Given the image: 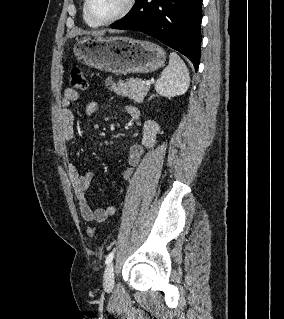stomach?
Listing matches in <instances>:
<instances>
[{"instance_id": "0dacf381", "label": "stomach", "mask_w": 284, "mask_h": 319, "mask_svg": "<svg viewBox=\"0 0 284 319\" xmlns=\"http://www.w3.org/2000/svg\"><path fill=\"white\" fill-rule=\"evenodd\" d=\"M80 62L114 74L151 73L163 66L164 50L130 37H82L74 46Z\"/></svg>"}]
</instances>
